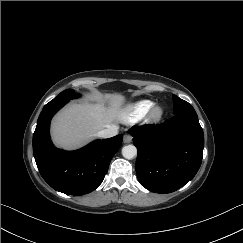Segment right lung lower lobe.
<instances>
[{
  "mask_svg": "<svg viewBox=\"0 0 243 243\" xmlns=\"http://www.w3.org/2000/svg\"><path fill=\"white\" fill-rule=\"evenodd\" d=\"M66 103L56 101L44 106L33 135V153L41 176L53 189L79 196L102 183L112 157L121 147L122 135L93 141L76 151L57 149L50 139V121Z\"/></svg>",
  "mask_w": 243,
  "mask_h": 243,
  "instance_id": "right-lung-lower-lobe-1",
  "label": "right lung lower lobe"
}]
</instances>
